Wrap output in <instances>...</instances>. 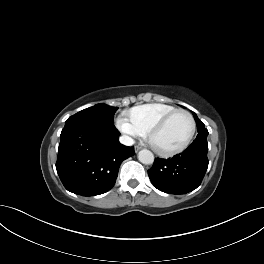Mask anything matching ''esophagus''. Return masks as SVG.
Wrapping results in <instances>:
<instances>
[{
    "mask_svg": "<svg viewBox=\"0 0 264 264\" xmlns=\"http://www.w3.org/2000/svg\"><path fill=\"white\" fill-rule=\"evenodd\" d=\"M141 149L140 146H135V152H138Z\"/></svg>",
    "mask_w": 264,
    "mask_h": 264,
    "instance_id": "obj_1",
    "label": "esophagus"
}]
</instances>
